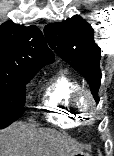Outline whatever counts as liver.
Masks as SVG:
<instances>
[{
    "label": "liver",
    "instance_id": "obj_1",
    "mask_svg": "<svg viewBox=\"0 0 114 156\" xmlns=\"http://www.w3.org/2000/svg\"><path fill=\"white\" fill-rule=\"evenodd\" d=\"M85 146L55 129L15 123L0 130V156H76Z\"/></svg>",
    "mask_w": 114,
    "mask_h": 156
}]
</instances>
